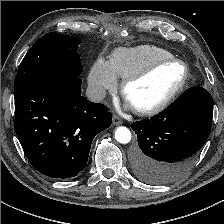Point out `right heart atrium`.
Instances as JSON below:
<instances>
[{
	"mask_svg": "<svg viewBox=\"0 0 224 224\" xmlns=\"http://www.w3.org/2000/svg\"><path fill=\"white\" fill-rule=\"evenodd\" d=\"M89 87L96 99H101L106 91L117 87L118 79L114 74L110 63L99 59L91 68L89 74Z\"/></svg>",
	"mask_w": 224,
	"mask_h": 224,
	"instance_id": "1",
	"label": "right heart atrium"
}]
</instances>
